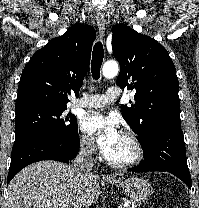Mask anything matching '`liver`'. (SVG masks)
Returning a JSON list of instances; mask_svg holds the SVG:
<instances>
[{
	"label": "liver",
	"instance_id": "liver-1",
	"mask_svg": "<svg viewBox=\"0 0 199 208\" xmlns=\"http://www.w3.org/2000/svg\"><path fill=\"white\" fill-rule=\"evenodd\" d=\"M99 178L61 162H36L10 182L8 208H87L99 197Z\"/></svg>",
	"mask_w": 199,
	"mask_h": 208
}]
</instances>
